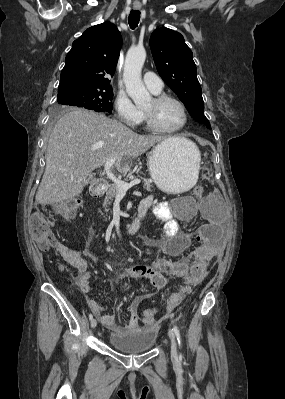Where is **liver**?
Wrapping results in <instances>:
<instances>
[{"label":"liver","instance_id":"6515ba94","mask_svg":"<svg viewBox=\"0 0 285 399\" xmlns=\"http://www.w3.org/2000/svg\"><path fill=\"white\" fill-rule=\"evenodd\" d=\"M170 139L173 138L137 134L103 114L84 109L69 111L51 132L36 202H68L82 193L91 172L108 159H116L119 172H128L132 159Z\"/></svg>","mask_w":285,"mask_h":399}]
</instances>
